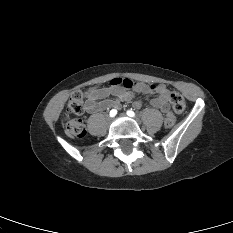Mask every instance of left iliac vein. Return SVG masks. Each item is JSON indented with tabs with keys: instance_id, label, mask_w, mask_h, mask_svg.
Here are the masks:
<instances>
[{
	"instance_id": "left-iliac-vein-1",
	"label": "left iliac vein",
	"mask_w": 233,
	"mask_h": 233,
	"mask_svg": "<svg viewBox=\"0 0 233 233\" xmlns=\"http://www.w3.org/2000/svg\"><path fill=\"white\" fill-rule=\"evenodd\" d=\"M120 116L124 117V116H126V115H125L124 113H121Z\"/></svg>"
}]
</instances>
